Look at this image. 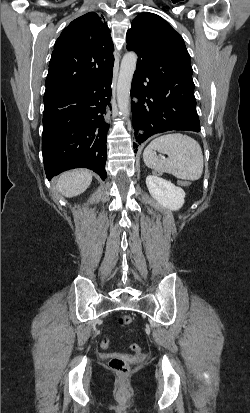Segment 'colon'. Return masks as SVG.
I'll use <instances>...</instances> for the list:
<instances>
[{
	"label": "colon",
	"instance_id": "obj_1",
	"mask_svg": "<svg viewBox=\"0 0 250 413\" xmlns=\"http://www.w3.org/2000/svg\"><path fill=\"white\" fill-rule=\"evenodd\" d=\"M151 175L153 177H162L164 175V170L162 168H153L151 170ZM175 185L177 187H188L190 185V180L188 178H177L175 180ZM118 323L120 325H130L133 323V318L130 315H123L118 318ZM109 340L107 338L100 339V347L103 350L109 348ZM130 348L134 352H141L142 348L137 343H132ZM109 368L120 376H126L129 374L130 368L128 361L121 356H116L110 359Z\"/></svg>",
	"mask_w": 250,
	"mask_h": 413
}]
</instances>
